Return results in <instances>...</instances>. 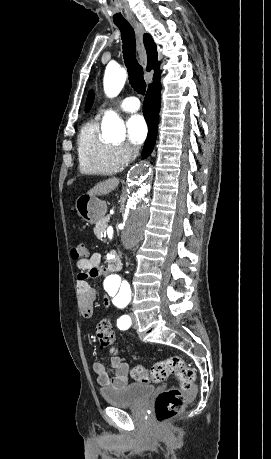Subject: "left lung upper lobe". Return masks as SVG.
Here are the masks:
<instances>
[{
    "label": "left lung upper lobe",
    "instance_id": "left-lung-upper-lobe-1",
    "mask_svg": "<svg viewBox=\"0 0 271 459\" xmlns=\"http://www.w3.org/2000/svg\"><path fill=\"white\" fill-rule=\"evenodd\" d=\"M93 99H94V94H93V91H90L89 92V95L87 97V101H86V106H85V110L88 111L93 103Z\"/></svg>",
    "mask_w": 271,
    "mask_h": 459
}]
</instances>
